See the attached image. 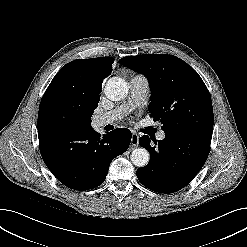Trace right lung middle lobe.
<instances>
[{"label":"right lung middle lobe","instance_id":"right-lung-middle-lobe-1","mask_svg":"<svg viewBox=\"0 0 247 247\" xmlns=\"http://www.w3.org/2000/svg\"><path fill=\"white\" fill-rule=\"evenodd\" d=\"M100 97L88 93L78 82L77 68L68 63L53 78L45 91L38 121L73 131L91 128V116Z\"/></svg>","mask_w":247,"mask_h":247}]
</instances>
